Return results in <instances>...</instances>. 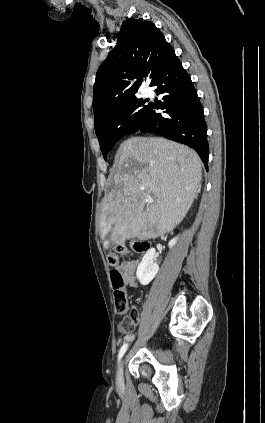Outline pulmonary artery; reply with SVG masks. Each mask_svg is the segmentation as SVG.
Wrapping results in <instances>:
<instances>
[{
	"instance_id": "e3ab8cb5",
	"label": "pulmonary artery",
	"mask_w": 265,
	"mask_h": 423,
	"mask_svg": "<svg viewBox=\"0 0 265 423\" xmlns=\"http://www.w3.org/2000/svg\"><path fill=\"white\" fill-rule=\"evenodd\" d=\"M149 94H150V91H149V90H146V91H145V95H147V96H148Z\"/></svg>"
}]
</instances>
